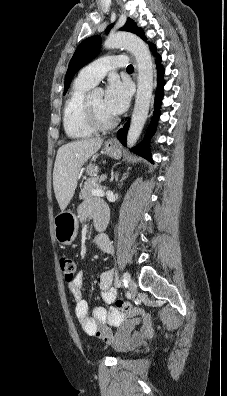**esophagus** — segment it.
<instances>
[{"label":"esophagus","mask_w":227,"mask_h":396,"mask_svg":"<svg viewBox=\"0 0 227 396\" xmlns=\"http://www.w3.org/2000/svg\"><path fill=\"white\" fill-rule=\"evenodd\" d=\"M130 58H131V60H132V62H133V64H134V68H135V78L137 79L138 71H137L136 61H135V59H134L132 56H130ZM109 143L113 144V143H115V140H110Z\"/></svg>","instance_id":"34e87169"}]
</instances>
